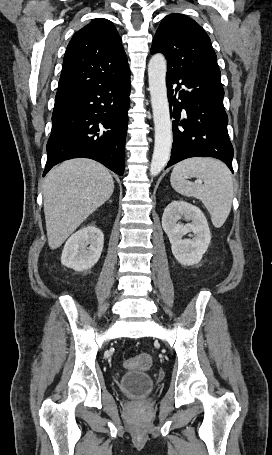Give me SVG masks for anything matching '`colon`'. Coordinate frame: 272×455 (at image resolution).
Segmentation results:
<instances>
[{
    "label": "colon",
    "instance_id": "colon-1",
    "mask_svg": "<svg viewBox=\"0 0 272 455\" xmlns=\"http://www.w3.org/2000/svg\"><path fill=\"white\" fill-rule=\"evenodd\" d=\"M124 365L127 369L147 370L152 365V358L147 353H141L134 358L128 359Z\"/></svg>",
    "mask_w": 272,
    "mask_h": 455
}]
</instances>
